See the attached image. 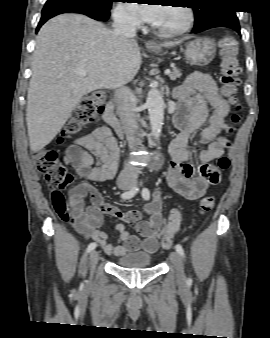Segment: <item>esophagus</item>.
<instances>
[{"instance_id":"obj_1","label":"esophagus","mask_w":270,"mask_h":338,"mask_svg":"<svg viewBox=\"0 0 270 338\" xmlns=\"http://www.w3.org/2000/svg\"><path fill=\"white\" fill-rule=\"evenodd\" d=\"M147 45L148 46H152V45H154V43L153 42H148Z\"/></svg>"}]
</instances>
